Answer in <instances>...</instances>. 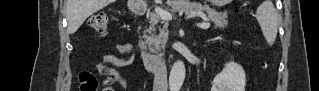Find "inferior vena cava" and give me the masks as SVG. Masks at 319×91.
Wrapping results in <instances>:
<instances>
[{
	"label": "inferior vena cava",
	"instance_id": "inferior-vena-cava-1",
	"mask_svg": "<svg viewBox=\"0 0 319 91\" xmlns=\"http://www.w3.org/2000/svg\"><path fill=\"white\" fill-rule=\"evenodd\" d=\"M167 88V69L165 60H162L155 69L153 91H167Z\"/></svg>",
	"mask_w": 319,
	"mask_h": 91
}]
</instances>
